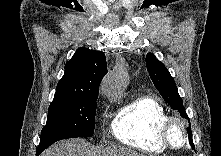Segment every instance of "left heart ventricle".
Wrapping results in <instances>:
<instances>
[{"mask_svg":"<svg viewBox=\"0 0 221 156\" xmlns=\"http://www.w3.org/2000/svg\"><path fill=\"white\" fill-rule=\"evenodd\" d=\"M170 141L175 146H180L183 141V130L179 124L172 125L170 129Z\"/></svg>","mask_w":221,"mask_h":156,"instance_id":"left-heart-ventricle-1","label":"left heart ventricle"}]
</instances>
